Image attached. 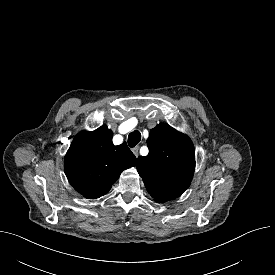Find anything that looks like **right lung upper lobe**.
I'll return each mask as SVG.
<instances>
[{"label": "right lung upper lobe", "instance_id": "cb5924a9", "mask_svg": "<svg viewBox=\"0 0 275 275\" xmlns=\"http://www.w3.org/2000/svg\"><path fill=\"white\" fill-rule=\"evenodd\" d=\"M107 126L76 135L65 156L68 181L84 197L96 199L106 194L121 172L136 165L137 159L124 142L112 143Z\"/></svg>", "mask_w": 275, "mask_h": 275}]
</instances>
